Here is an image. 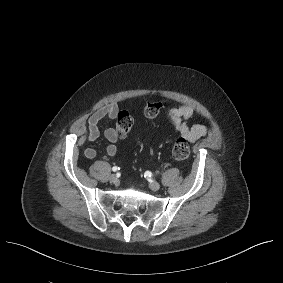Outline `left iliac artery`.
Returning <instances> with one entry per match:
<instances>
[{
	"label": "left iliac artery",
	"mask_w": 283,
	"mask_h": 283,
	"mask_svg": "<svg viewBox=\"0 0 283 283\" xmlns=\"http://www.w3.org/2000/svg\"><path fill=\"white\" fill-rule=\"evenodd\" d=\"M145 174H148V175H149V177H151V175H152V173H151V172H149V171H146V172H145Z\"/></svg>",
	"instance_id": "1"
}]
</instances>
